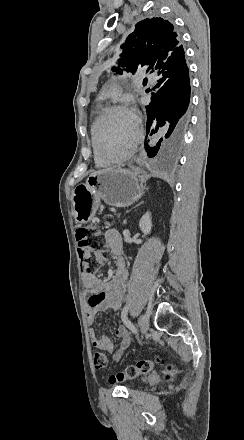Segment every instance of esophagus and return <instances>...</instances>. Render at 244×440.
<instances>
[{"mask_svg":"<svg viewBox=\"0 0 244 440\" xmlns=\"http://www.w3.org/2000/svg\"><path fill=\"white\" fill-rule=\"evenodd\" d=\"M145 162H146V156H145L143 153H141V154L137 157V159H136V163H137L138 165H144Z\"/></svg>","mask_w":244,"mask_h":440,"instance_id":"34e87169","label":"esophagus"}]
</instances>
